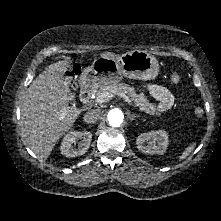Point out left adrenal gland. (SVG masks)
<instances>
[{
    "instance_id": "left-adrenal-gland-1",
    "label": "left adrenal gland",
    "mask_w": 221,
    "mask_h": 221,
    "mask_svg": "<svg viewBox=\"0 0 221 221\" xmlns=\"http://www.w3.org/2000/svg\"><path fill=\"white\" fill-rule=\"evenodd\" d=\"M139 115H135V114H131L130 112H128V118L132 121L134 120L135 118H138Z\"/></svg>"
}]
</instances>
